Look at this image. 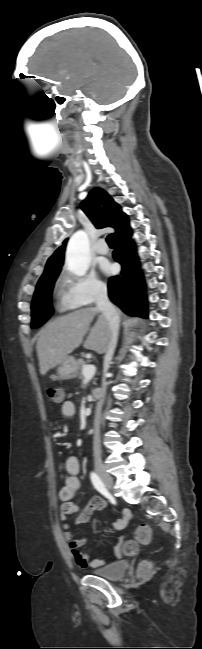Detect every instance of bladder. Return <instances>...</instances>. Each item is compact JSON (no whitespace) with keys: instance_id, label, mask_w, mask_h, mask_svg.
Wrapping results in <instances>:
<instances>
[{"instance_id":"1","label":"bladder","mask_w":202,"mask_h":649,"mask_svg":"<svg viewBox=\"0 0 202 649\" xmlns=\"http://www.w3.org/2000/svg\"><path fill=\"white\" fill-rule=\"evenodd\" d=\"M128 561L120 560L114 563L99 567L93 570V575L108 579L116 580L122 577L128 569Z\"/></svg>"}]
</instances>
